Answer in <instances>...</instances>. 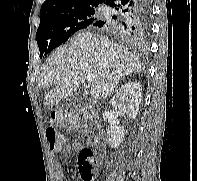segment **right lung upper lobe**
<instances>
[{"mask_svg":"<svg viewBox=\"0 0 197 181\" xmlns=\"http://www.w3.org/2000/svg\"><path fill=\"white\" fill-rule=\"evenodd\" d=\"M108 0H46L41 6L40 19L56 16L67 11L105 3Z\"/></svg>","mask_w":197,"mask_h":181,"instance_id":"cb5924a9","label":"right lung upper lobe"}]
</instances>
